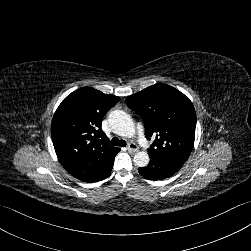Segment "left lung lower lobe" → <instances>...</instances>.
<instances>
[{
  "label": "left lung lower lobe",
  "instance_id": "obj_1",
  "mask_svg": "<svg viewBox=\"0 0 251 251\" xmlns=\"http://www.w3.org/2000/svg\"><path fill=\"white\" fill-rule=\"evenodd\" d=\"M149 157V164L138 169L139 173L146 179L163 180L174 175L183 166L177 161L164 159L156 154H149Z\"/></svg>",
  "mask_w": 251,
  "mask_h": 251
}]
</instances>
